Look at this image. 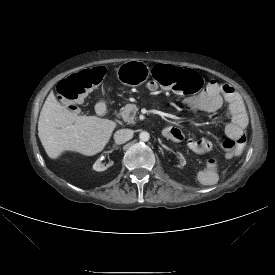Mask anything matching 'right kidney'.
<instances>
[{"instance_id":"1","label":"right kidney","mask_w":275,"mask_h":275,"mask_svg":"<svg viewBox=\"0 0 275 275\" xmlns=\"http://www.w3.org/2000/svg\"><path fill=\"white\" fill-rule=\"evenodd\" d=\"M97 159L98 160L93 165L95 171H104L112 165V160L107 158L106 154H99Z\"/></svg>"}]
</instances>
